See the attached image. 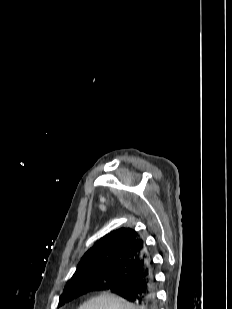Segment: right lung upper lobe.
<instances>
[{"label": "right lung upper lobe", "instance_id": "1", "mask_svg": "<svg viewBox=\"0 0 232 309\" xmlns=\"http://www.w3.org/2000/svg\"><path fill=\"white\" fill-rule=\"evenodd\" d=\"M147 259L149 255L138 233L131 228H119L96 241L83 255L71 279L96 271L122 273L127 264H140Z\"/></svg>", "mask_w": 232, "mask_h": 309}]
</instances>
